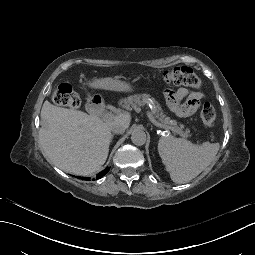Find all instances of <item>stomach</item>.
Segmentation results:
<instances>
[{
  "mask_svg": "<svg viewBox=\"0 0 255 255\" xmlns=\"http://www.w3.org/2000/svg\"><path fill=\"white\" fill-rule=\"evenodd\" d=\"M108 89L111 92H118L119 90H121L126 93H131L134 92L137 89V87L136 85L130 82H123L119 81L118 79H111L108 82Z\"/></svg>",
  "mask_w": 255,
  "mask_h": 255,
  "instance_id": "obj_1",
  "label": "stomach"
}]
</instances>
